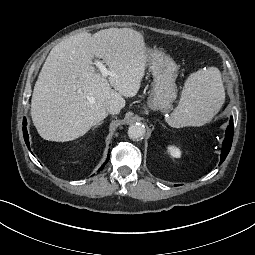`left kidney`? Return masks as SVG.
<instances>
[{
	"instance_id": "obj_1",
	"label": "left kidney",
	"mask_w": 255,
	"mask_h": 255,
	"mask_svg": "<svg viewBox=\"0 0 255 255\" xmlns=\"http://www.w3.org/2000/svg\"><path fill=\"white\" fill-rule=\"evenodd\" d=\"M168 152L172 157L179 158L181 156V151L179 148L175 146H169L168 147Z\"/></svg>"
}]
</instances>
